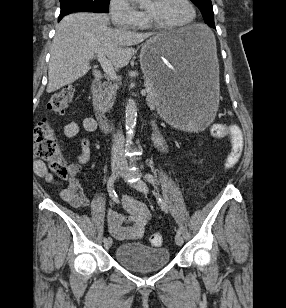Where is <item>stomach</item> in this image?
Wrapping results in <instances>:
<instances>
[{
    "label": "stomach",
    "instance_id": "stomach-1",
    "mask_svg": "<svg viewBox=\"0 0 286 308\" xmlns=\"http://www.w3.org/2000/svg\"><path fill=\"white\" fill-rule=\"evenodd\" d=\"M173 36L158 34L140 52L154 102L169 125H209L217 107L219 65L213 33L204 25L182 28Z\"/></svg>",
    "mask_w": 286,
    "mask_h": 308
}]
</instances>
